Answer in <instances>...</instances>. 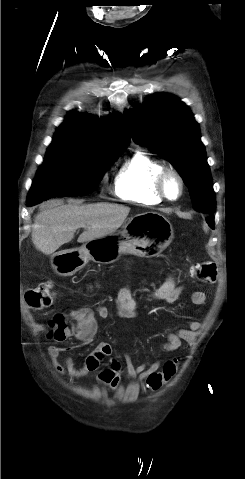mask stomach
Wrapping results in <instances>:
<instances>
[{
    "mask_svg": "<svg viewBox=\"0 0 245 479\" xmlns=\"http://www.w3.org/2000/svg\"><path fill=\"white\" fill-rule=\"evenodd\" d=\"M173 239L170 222L157 212H144L129 218L122 230L86 242L79 248L62 250L52 255L51 265L61 276H71L90 260L111 264L122 255L158 256Z\"/></svg>",
    "mask_w": 245,
    "mask_h": 479,
    "instance_id": "1",
    "label": "stomach"
}]
</instances>
